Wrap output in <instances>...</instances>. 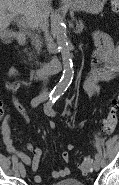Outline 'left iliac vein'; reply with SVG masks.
<instances>
[{
    "label": "left iliac vein",
    "instance_id": "left-iliac-vein-1",
    "mask_svg": "<svg viewBox=\"0 0 119 185\" xmlns=\"http://www.w3.org/2000/svg\"><path fill=\"white\" fill-rule=\"evenodd\" d=\"M93 167L96 171H98L100 169V159L99 158H95Z\"/></svg>",
    "mask_w": 119,
    "mask_h": 185
}]
</instances>
